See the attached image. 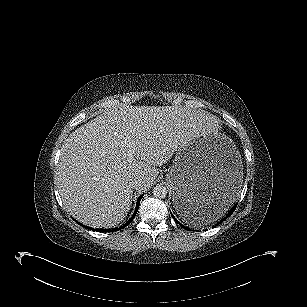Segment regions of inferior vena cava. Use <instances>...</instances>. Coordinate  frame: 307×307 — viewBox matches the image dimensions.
Here are the masks:
<instances>
[{
  "instance_id": "obj_1",
  "label": "inferior vena cava",
  "mask_w": 307,
  "mask_h": 307,
  "mask_svg": "<svg viewBox=\"0 0 307 307\" xmlns=\"http://www.w3.org/2000/svg\"><path fill=\"white\" fill-rule=\"evenodd\" d=\"M142 184V181L141 180H137V179H134L132 181L129 182V186L133 189H137L141 186Z\"/></svg>"
}]
</instances>
